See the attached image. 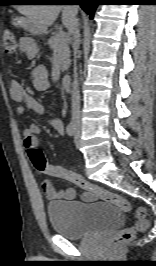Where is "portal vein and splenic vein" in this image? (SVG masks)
<instances>
[{
  "label": "portal vein and splenic vein",
  "mask_w": 156,
  "mask_h": 266,
  "mask_svg": "<svg viewBox=\"0 0 156 266\" xmlns=\"http://www.w3.org/2000/svg\"><path fill=\"white\" fill-rule=\"evenodd\" d=\"M59 36H60L61 38H66V37H67V35H66V33H65L64 31H60V32H59Z\"/></svg>",
  "instance_id": "18ae733b"
}]
</instances>
